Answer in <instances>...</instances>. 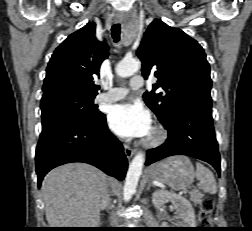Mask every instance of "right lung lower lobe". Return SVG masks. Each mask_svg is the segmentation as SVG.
<instances>
[{
    "instance_id": "98d812e1",
    "label": "right lung lower lobe",
    "mask_w": 252,
    "mask_h": 231,
    "mask_svg": "<svg viewBox=\"0 0 252 231\" xmlns=\"http://www.w3.org/2000/svg\"><path fill=\"white\" fill-rule=\"evenodd\" d=\"M35 162L38 185L51 169L70 162L94 165L118 180L127 170L123 146L108 130L104 114L90 122L61 120L42 127Z\"/></svg>"
}]
</instances>
